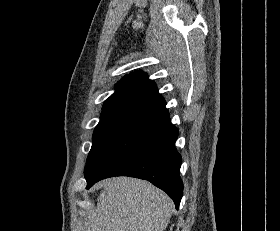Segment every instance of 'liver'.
Segmentation results:
<instances>
[{"instance_id":"liver-1","label":"liver","mask_w":280,"mask_h":231,"mask_svg":"<svg viewBox=\"0 0 280 231\" xmlns=\"http://www.w3.org/2000/svg\"><path fill=\"white\" fill-rule=\"evenodd\" d=\"M103 187L97 209L84 221V231H163L173 203L161 189L134 177H112Z\"/></svg>"}]
</instances>
